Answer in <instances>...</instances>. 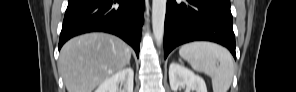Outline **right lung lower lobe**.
<instances>
[{
    "label": "right lung lower lobe",
    "instance_id": "98d812e1",
    "mask_svg": "<svg viewBox=\"0 0 296 92\" xmlns=\"http://www.w3.org/2000/svg\"><path fill=\"white\" fill-rule=\"evenodd\" d=\"M143 11L144 0H69L59 49L76 35L102 31L122 38L138 56Z\"/></svg>",
    "mask_w": 296,
    "mask_h": 92
}]
</instances>
